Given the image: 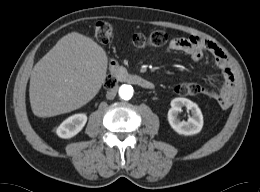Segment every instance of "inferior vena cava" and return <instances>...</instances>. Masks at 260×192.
Returning <instances> with one entry per match:
<instances>
[{"instance_id": "obj_1", "label": "inferior vena cava", "mask_w": 260, "mask_h": 192, "mask_svg": "<svg viewBox=\"0 0 260 192\" xmlns=\"http://www.w3.org/2000/svg\"><path fill=\"white\" fill-rule=\"evenodd\" d=\"M116 93H117V91L115 89H111V90L107 91L106 98L109 100L114 99V97L116 96Z\"/></svg>"}]
</instances>
